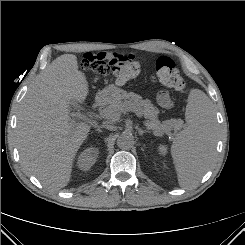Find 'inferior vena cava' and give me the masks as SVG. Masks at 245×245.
Masks as SVG:
<instances>
[{"instance_id":"602c4592","label":"inferior vena cava","mask_w":245,"mask_h":245,"mask_svg":"<svg viewBox=\"0 0 245 245\" xmlns=\"http://www.w3.org/2000/svg\"><path fill=\"white\" fill-rule=\"evenodd\" d=\"M101 127H104V128H106V129H108V130H111V131H115L116 130V126L115 125H102Z\"/></svg>"}]
</instances>
